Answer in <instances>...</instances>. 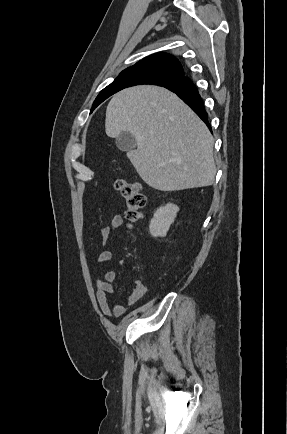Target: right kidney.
<instances>
[{
  "label": "right kidney",
  "mask_w": 287,
  "mask_h": 434,
  "mask_svg": "<svg viewBox=\"0 0 287 434\" xmlns=\"http://www.w3.org/2000/svg\"><path fill=\"white\" fill-rule=\"evenodd\" d=\"M178 211V206L172 203L160 207L151 219L149 225L150 234L153 237H165Z\"/></svg>",
  "instance_id": "ca27d5eb"
}]
</instances>
